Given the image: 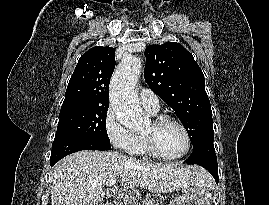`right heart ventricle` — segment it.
Returning <instances> with one entry per match:
<instances>
[{
    "instance_id": "right-heart-ventricle-1",
    "label": "right heart ventricle",
    "mask_w": 269,
    "mask_h": 205,
    "mask_svg": "<svg viewBox=\"0 0 269 205\" xmlns=\"http://www.w3.org/2000/svg\"><path fill=\"white\" fill-rule=\"evenodd\" d=\"M132 155H145L147 154L143 145V141L140 135H136V140L131 148L130 151H128Z\"/></svg>"
}]
</instances>
